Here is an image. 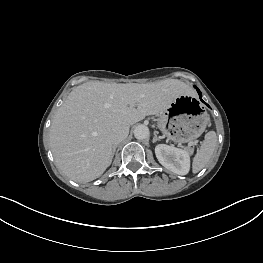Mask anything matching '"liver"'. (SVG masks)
<instances>
[{
    "instance_id": "liver-1",
    "label": "liver",
    "mask_w": 263,
    "mask_h": 263,
    "mask_svg": "<svg viewBox=\"0 0 263 263\" xmlns=\"http://www.w3.org/2000/svg\"><path fill=\"white\" fill-rule=\"evenodd\" d=\"M185 83H104L89 81L74 88L57 110L50 144L60 170L70 179L90 182L107 169L115 145L113 129L164 111L177 97L190 94Z\"/></svg>"
}]
</instances>
